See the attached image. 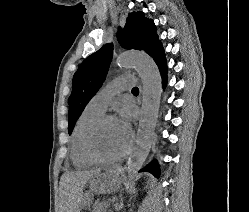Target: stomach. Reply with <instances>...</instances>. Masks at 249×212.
I'll use <instances>...</instances> for the list:
<instances>
[{
  "label": "stomach",
  "instance_id": "0dacf381",
  "mask_svg": "<svg viewBox=\"0 0 249 212\" xmlns=\"http://www.w3.org/2000/svg\"><path fill=\"white\" fill-rule=\"evenodd\" d=\"M124 175H95V178L89 180L90 188L97 189V193H109V189H115L118 192V184H123ZM93 196L90 192L84 194L82 206H90Z\"/></svg>",
  "mask_w": 249,
  "mask_h": 212
}]
</instances>
